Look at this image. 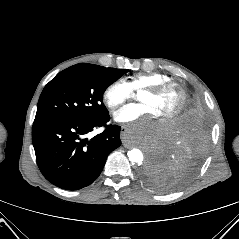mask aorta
Wrapping results in <instances>:
<instances>
[{"instance_id":"1","label":"aorta","mask_w":239,"mask_h":239,"mask_svg":"<svg viewBox=\"0 0 239 239\" xmlns=\"http://www.w3.org/2000/svg\"><path fill=\"white\" fill-rule=\"evenodd\" d=\"M129 161L131 163L142 164L144 155L140 149L133 148L128 152Z\"/></svg>"}]
</instances>
